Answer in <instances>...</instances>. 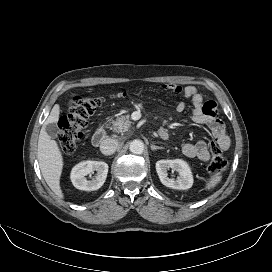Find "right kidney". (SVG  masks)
<instances>
[{
	"mask_svg": "<svg viewBox=\"0 0 272 272\" xmlns=\"http://www.w3.org/2000/svg\"><path fill=\"white\" fill-rule=\"evenodd\" d=\"M108 168V164L102 161L88 160L80 162L71 171V181L79 190H98L106 180ZM94 171L97 172L95 178L87 180L86 176Z\"/></svg>",
	"mask_w": 272,
	"mask_h": 272,
	"instance_id": "right-kidney-1",
	"label": "right kidney"
}]
</instances>
